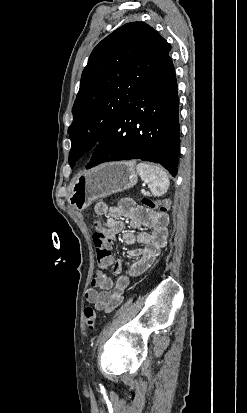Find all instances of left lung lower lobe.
Here are the masks:
<instances>
[{"label": "left lung lower lobe", "instance_id": "obj_1", "mask_svg": "<svg viewBox=\"0 0 247 413\" xmlns=\"http://www.w3.org/2000/svg\"><path fill=\"white\" fill-rule=\"evenodd\" d=\"M176 75L169 54L141 85L96 146L86 166L141 159L177 174L180 152Z\"/></svg>", "mask_w": 247, "mask_h": 413}]
</instances>
